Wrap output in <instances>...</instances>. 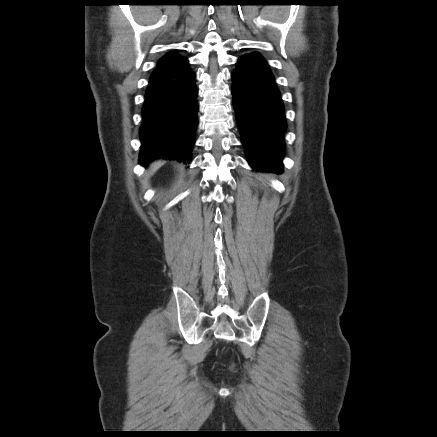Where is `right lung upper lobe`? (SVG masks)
<instances>
[{
  "label": "right lung upper lobe",
  "instance_id": "right-lung-upper-lobe-1",
  "mask_svg": "<svg viewBox=\"0 0 437 437\" xmlns=\"http://www.w3.org/2000/svg\"><path fill=\"white\" fill-rule=\"evenodd\" d=\"M178 57H180V55H178L176 53L166 54L164 57H162L160 59V61L158 62V65H162V64L168 63V62L173 61L174 59H176Z\"/></svg>",
  "mask_w": 437,
  "mask_h": 437
}]
</instances>
